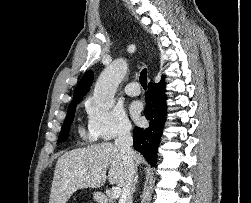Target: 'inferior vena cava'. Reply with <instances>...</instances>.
Segmentation results:
<instances>
[{"mask_svg":"<svg viewBox=\"0 0 251 203\" xmlns=\"http://www.w3.org/2000/svg\"><path fill=\"white\" fill-rule=\"evenodd\" d=\"M131 124L124 123L119 129L118 136L115 139L114 145L119 149L125 168V181L122 186L120 203H132L133 181L137 171L135 163V153L132 150L133 139L131 136Z\"/></svg>","mask_w":251,"mask_h":203,"instance_id":"obj_1","label":"inferior vena cava"}]
</instances>
